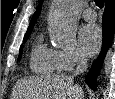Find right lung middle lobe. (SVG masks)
I'll return each mask as SVG.
<instances>
[{"instance_id":"dd1d6c3e","label":"right lung middle lobe","mask_w":115,"mask_h":99,"mask_svg":"<svg viewBox=\"0 0 115 99\" xmlns=\"http://www.w3.org/2000/svg\"><path fill=\"white\" fill-rule=\"evenodd\" d=\"M30 35V33H28V34H26L25 35V37H24V42L27 40V38H28V36ZM22 52V46H21V48H20V53ZM20 59V55H19V57H18V60Z\"/></svg>"}]
</instances>
